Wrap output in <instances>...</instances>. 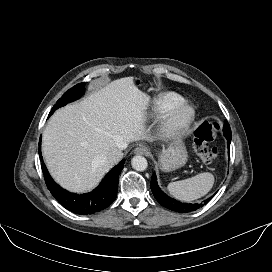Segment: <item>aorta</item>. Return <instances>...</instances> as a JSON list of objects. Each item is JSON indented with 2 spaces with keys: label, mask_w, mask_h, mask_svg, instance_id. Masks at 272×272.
<instances>
[{
  "label": "aorta",
  "mask_w": 272,
  "mask_h": 272,
  "mask_svg": "<svg viewBox=\"0 0 272 272\" xmlns=\"http://www.w3.org/2000/svg\"><path fill=\"white\" fill-rule=\"evenodd\" d=\"M131 164L136 171H144L148 167L146 158L140 155L134 156L132 158Z\"/></svg>",
  "instance_id": "obj_1"
}]
</instances>
